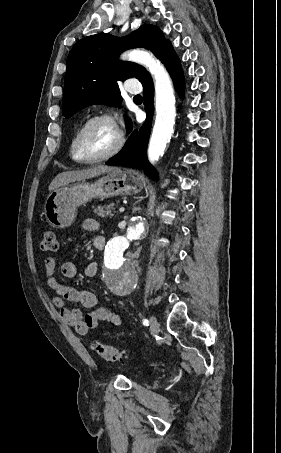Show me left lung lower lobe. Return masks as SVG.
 <instances>
[{
    "instance_id": "obj_1",
    "label": "left lung lower lobe",
    "mask_w": 281,
    "mask_h": 453,
    "mask_svg": "<svg viewBox=\"0 0 281 453\" xmlns=\"http://www.w3.org/2000/svg\"><path fill=\"white\" fill-rule=\"evenodd\" d=\"M160 60L166 66L174 81L176 89L182 96L184 81L180 61L170 42H168L164 47ZM142 85L144 88V105L147 112L146 121L139 131L136 130L133 132L123 149L116 156L107 161L106 164L143 169L147 176L157 180V174L153 167L149 164L146 156V148L149 140L154 110V85L150 74L142 80Z\"/></svg>"
}]
</instances>
